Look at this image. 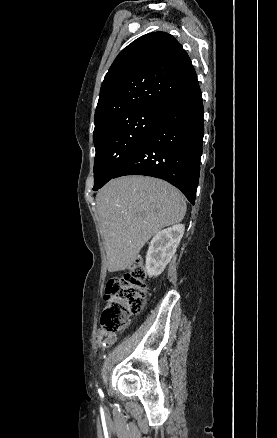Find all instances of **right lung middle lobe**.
I'll use <instances>...</instances> for the list:
<instances>
[{"mask_svg":"<svg viewBox=\"0 0 277 438\" xmlns=\"http://www.w3.org/2000/svg\"><path fill=\"white\" fill-rule=\"evenodd\" d=\"M160 109L114 115L95 123L96 148L94 188L103 186L141 146L152 129Z\"/></svg>","mask_w":277,"mask_h":438,"instance_id":"obj_1","label":"right lung middle lobe"}]
</instances>
